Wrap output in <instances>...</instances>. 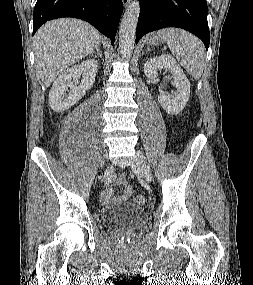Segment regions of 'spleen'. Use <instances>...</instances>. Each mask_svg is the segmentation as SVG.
I'll list each match as a JSON object with an SVG mask.
<instances>
[{"label": "spleen", "instance_id": "3e777b00", "mask_svg": "<svg viewBox=\"0 0 253 285\" xmlns=\"http://www.w3.org/2000/svg\"><path fill=\"white\" fill-rule=\"evenodd\" d=\"M170 49L176 55L178 62L187 72L199 79L205 67V47L191 33L177 28H166L158 31Z\"/></svg>", "mask_w": 253, "mask_h": 285}]
</instances>
